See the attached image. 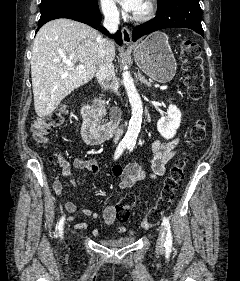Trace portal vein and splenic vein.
<instances>
[{"instance_id":"1","label":"portal vein and splenic vein","mask_w":240,"mask_h":281,"mask_svg":"<svg viewBox=\"0 0 240 281\" xmlns=\"http://www.w3.org/2000/svg\"><path fill=\"white\" fill-rule=\"evenodd\" d=\"M67 65L68 66H70L72 69H76V70H79V71H82V70H84V66L83 65H78V66H74L72 63H70V62H67ZM166 89H168V86H161L160 87V90H166Z\"/></svg>"}]
</instances>
